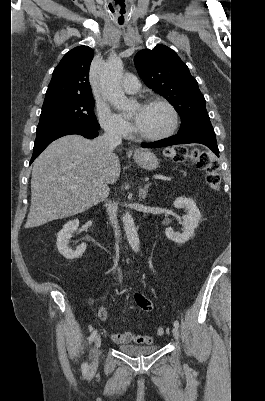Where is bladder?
<instances>
[{"label": "bladder", "instance_id": "bladder-1", "mask_svg": "<svg viewBox=\"0 0 265 401\" xmlns=\"http://www.w3.org/2000/svg\"><path fill=\"white\" fill-rule=\"evenodd\" d=\"M120 350L124 353L131 354L133 356H146L155 350H158V345L155 346H135V345H123L120 346Z\"/></svg>", "mask_w": 265, "mask_h": 401}]
</instances>
